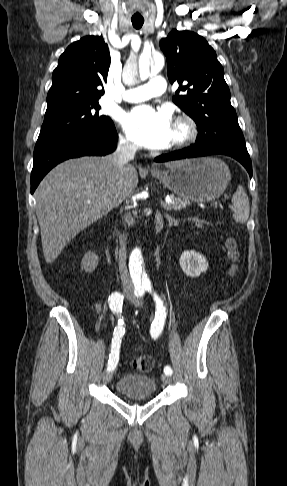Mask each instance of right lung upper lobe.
<instances>
[{"mask_svg":"<svg viewBox=\"0 0 287 486\" xmlns=\"http://www.w3.org/2000/svg\"><path fill=\"white\" fill-rule=\"evenodd\" d=\"M109 66V49L101 36H86L72 43L53 71L47 107L99 99L104 94L101 86L107 81Z\"/></svg>","mask_w":287,"mask_h":486,"instance_id":"cb5924a9","label":"right lung upper lobe"}]
</instances>
